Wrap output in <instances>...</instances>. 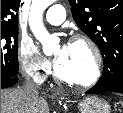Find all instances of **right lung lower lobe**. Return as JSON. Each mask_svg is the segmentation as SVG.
<instances>
[{
    "instance_id": "1",
    "label": "right lung lower lobe",
    "mask_w": 123,
    "mask_h": 113,
    "mask_svg": "<svg viewBox=\"0 0 123 113\" xmlns=\"http://www.w3.org/2000/svg\"><path fill=\"white\" fill-rule=\"evenodd\" d=\"M18 81V77L1 76V89L13 86Z\"/></svg>"
}]
</instances>
